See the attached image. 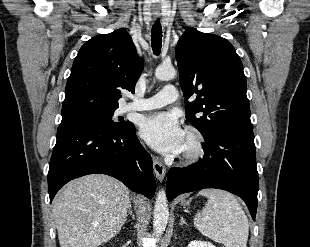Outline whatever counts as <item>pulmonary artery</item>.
I'll return each instance as SVG.
<instances>
[{"mask_svg": "<svg viewBox=\"0 0 310 247\" xmlns=\"http://www.w3.org/2000/svg\"><path fill=\"white\" fill-rule=\"evenodd\" d=\"M178 92L175 86L165 85L156 95L146 99H135L122 107L123 112L145 111L162 107L176 101Z\"/></svg>", "mask_w": 310, "mask_h": 247, "instance_id": "pulmonary-artery-1", "label": "pulmonary artery"}]
</instances>
